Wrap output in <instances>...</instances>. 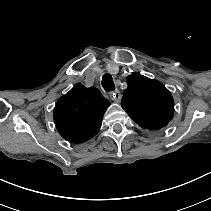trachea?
<instances>
[{
	"label": "trachea",
	"instance_id": "1",
	"mask_svg": "<svg viewBox=\"0 0 211 211\" xmlns=\"http://www.w3.org/2000/svg\"><path fill=\"white\" fill-rule=\"evenodd\" d=\"M102 87L105 89V91H112L115 89V85L111 74L105 73L102 76Z\"/></svg>",
	"mask_w": 211,
	"mask_h": 211
}]
</instances>
